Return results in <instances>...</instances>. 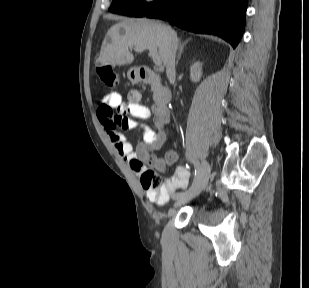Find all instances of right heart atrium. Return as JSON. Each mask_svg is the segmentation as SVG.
<instances>
[{
  "instance_id": "d8ad5b80",
  "label": "right heart atrium",
  "mask_w": 309,
  "mask_h": 288,
  "mask_svg": "<svg viewBox=\"0 0 309 288\" xmlns=\"http://www.w3.org/2000/svg\"><path fill=\"white\" fill-rule=\"evenodd\" d=\"M158 0H143V2L147 5H151V4H154L156 3Z\"/></svg>"
}]
</instances>
